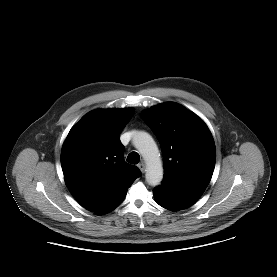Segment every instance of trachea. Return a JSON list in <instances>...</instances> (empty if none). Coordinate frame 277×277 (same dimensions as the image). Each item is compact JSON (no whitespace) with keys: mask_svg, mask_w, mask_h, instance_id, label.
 <instances>
[{"mask_svg":"<svg viewBox=\"0 0 277 277\" xmlns=\"http://www.w3.org/2000/svg\"><path fill=\"white\" fill-rule=\"evenodd\" d=\"M140 161V156L137 152H131L127 157V162L131 164H138Z\"/></svg>","mask_w":277,"mask_h":277,"instance_id":"3493384b","label":"trachea"}]
</instances>
